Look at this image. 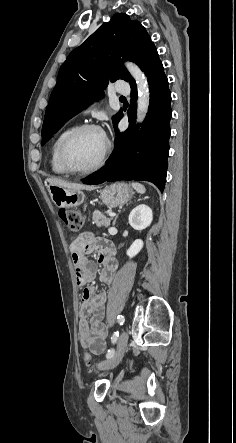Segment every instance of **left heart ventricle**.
Returning a JSON list of instances; mask_svg holds the SVG:
<instances>
[{
    "instance_id": "b2bd125f",
    "label": "left heart ventricle",
    "mask_w": 236,
    "mask_h": 443,
    "mask_svg": "<svg viewBox=\"0 0 236 443\" xmlns=\"http://www.w3.org/2000/svg\"><path fill=\"white\" fill-rule=\"evenodd\" d=\"M106 146V139L100 131L89 130L69 145L67 158L71 166L77 169L93 167L100 159Z\"/></svg>"
}]
</instances>
